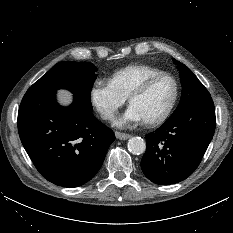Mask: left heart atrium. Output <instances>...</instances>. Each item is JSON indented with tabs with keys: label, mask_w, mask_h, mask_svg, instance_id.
<instances>
[{
	"label": "left heart atrium",
	"mask_w": 233,
	"mask_h": 233,
	"mask_svg": "<svg viewBox=\"0 0 233 233\" xmlns=\"http://www.w3.org/2000/svg\"><path fill=\"white\" fill-rule=\"evenodd\" d=\"M145 122L139 111L130 105L126 112L117 120L118 126H128L131 124H139Z\"/></svg>",
	"instance_id": "obj_1"
}]
</instances>
